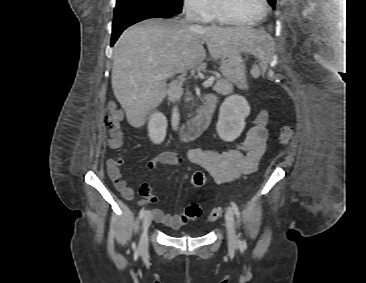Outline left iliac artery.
I'll list each match as a JSON object with an SVG mask.
<instances>
[{"label": "left iliac artery", "instance_id": "1", "mask_svg": "<svg viewBox=\"0 0 366 283\" xmlns=\"http://www.w3.org/2000/svg\"><path fill=\"white\" fill-rule=\"evenodd\" d=\"M231 207H232V210L234 211V213L236 214V216L239 218L240 217V212H239V209H238L236 203L231 202ZM240 244H242V241H240Z\"/></svg>", "mask_w": 366, "mask_h": 283}]
</instances>
